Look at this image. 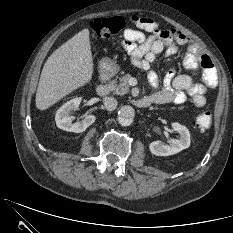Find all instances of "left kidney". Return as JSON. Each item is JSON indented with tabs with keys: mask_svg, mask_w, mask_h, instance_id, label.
<instances>
[{
	"mask_svg": "<svg viewBox=\"0 0 233 233\" xmlns=\"http://www.w3.org/2000/svg\"><path fill=\"white\" fill-rule=\"evenodd\" d=\"M174 131L178 132L179 139H171L169 144L165 145L160 141L150 143L149 149L156 156H170L179 153L190 146V132L184 126L177 122L172 123Z\"/></svg>",
	"mask_w": 233,
	"mask_h": 233,
	"instance_id": "1",
	"label": "left kidney"
}]
</instances>
